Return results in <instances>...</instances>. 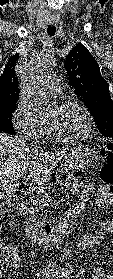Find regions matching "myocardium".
Wrapping results in <instances>:
<instances>
[{"instance_id": "myocardium-1", "label": "myocardium", "mask_w": 113, "mask_h": 279, "mask_svg": "<svg viewBox=\"0 0 113 279\" xmlns=\"http://www.w3.org/2000/svg\"><path fill=\"white\" fill-rule=\"evenodd\" d=\"M68 106H76L77 108H79L82 111V113L85 117L86 125H85L84 131L81 134H79L77 136H71V137L63 136V135L59 134L55 130V128L48 122H47V126H48L50 132L55 137V139H57L58 141H61L64 143H75V142L85 140L86 138L89 137V135L91 134L93 127H94L92 115H91L90 111L88 110V108L81 101H79L77 99H73V98H69V99L62 101L57 107L65 108Z\"/></svg>"}]
</instances>
